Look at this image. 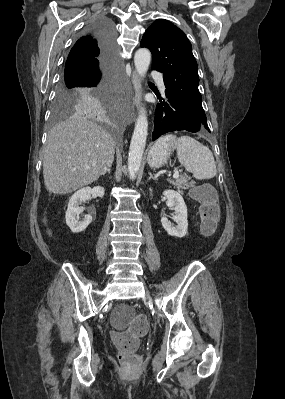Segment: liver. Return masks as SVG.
I'll use <instances>...</instances> for the list:
<instances>
[{"instance_id": "obj_1", "label": "liver", "mask_w": 285, "mask_h": 399, "mask_svg": "<svg viewBox=\"0 0 285 399\" xmlns=\"http://www.w3.org/2000/svg\"><path fill=\"white\" fill-rule=\"evenodd\" d=\"M115 141L101 126L75 113L52 129L43 157L49 193L67 194L95 182L114 161Z\"/></svg>"}]
</instances>
